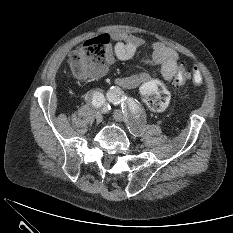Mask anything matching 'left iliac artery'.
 Returning a JSON list of instances; mask_svg holds the SVG:
<instances>
[{"mask_svg": "<svg viewBox=\"0 0 233 233\" xmlns=\"http://www.w3.org/2000/svg\"><path fill=\"white\" fill-rule=\"evenodd\" d=\"M107 99L113 104H121L122 109L129 108L134 114V117L136 119L139 118L140 110L138 104L132 98H127L120 88L111 87L107 93Z\"/></svg>", "mask_w": 233, "mask_h": 233, "instance_id": "44dca946", "label": "left iliac artery"}]
</instances>
